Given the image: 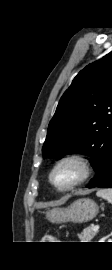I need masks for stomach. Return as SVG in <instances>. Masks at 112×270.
Wrapping results in <instances>:
<instances>
[{"label": "stomach", "instance_id": "0dacf381", "mask_svg": "<svg viewBox=\"0 0 112 270\" xmlns=\"http://www.w3.org/2000/svg\"><path fill=\"white\" fill-rule=\"evenodd\" d=\"M99 212V207L89 198L74 201L67 208L54 207L46 211V218L53 223H85L91 221Z\"/></svg>", "mask_w": 112, "mask_h": 270}]
</instances>
